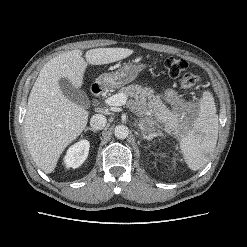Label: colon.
Returning a JSON list of instances; mask_svg holds the SVG:
<instances>
[{"mask_svg":"<svg viewBox=\"0 0 247 247\" xmlns=\"http://www.w3.org/2000/svg\"><path fill=\"white\" fill-rule=\"evenodd\" d=\"M165 69L171 78L179 77L188 67L187 62L183 59L168 58L164 63ZM200 81L199 76L192 73H185L180 81L183 89H191Z\"/></svg>","mask_w":247,"mask_h":247,"instance_id":"colon-1","label":"colon"}]
</instances>
